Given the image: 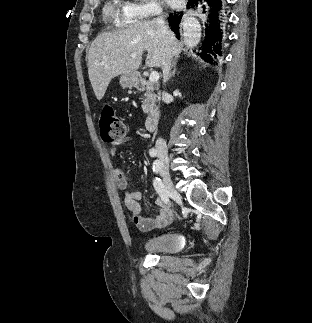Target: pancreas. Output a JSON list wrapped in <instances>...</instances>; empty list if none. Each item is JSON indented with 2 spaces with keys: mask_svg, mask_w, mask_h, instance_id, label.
<instances>
[{
  "mask_svg": "<svg viewBox=\"0 0 312 323\" xmlns=\"http://www.w3.org/2000/svg\"><path fill=\"white\" fill-rule=\"evenodd\" d=\"M145 86L146 94H144L145 98L142 104L143 112L144 114H153L154 110L157 108L156 94H153L155 90L151 82H146Z\"/></svg>",
  "mask_w": 312,
  "mask_h": 323,
  "instance_id": "obj_1",
  "label": "pancreas"
}]
</instances>
